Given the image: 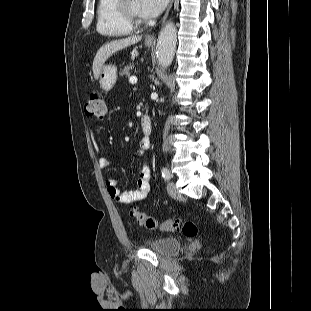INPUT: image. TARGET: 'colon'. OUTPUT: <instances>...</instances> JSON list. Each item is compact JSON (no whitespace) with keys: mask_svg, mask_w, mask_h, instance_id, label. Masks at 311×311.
<instances>
[{"mask_svg":"<svg viewBox=\"0 0 311 311\" xmlns=\"http://www.w3.org/2000/svg\"><path fill=\"white\" fill-rule=\"evenodd\" d=\"M106 112L107 106L104 94L101 91H92L85 104L86 115L90 117L103 118L106 115ZM130 216L140 225L151 230L158 229L165 232L180 231L186 237H194L198 233L196 224L191 220L176 218L159 222L154 217L136 208H132L130 210Z\"/></svg>","mask_w":311,"mask_h":311,"instance_id":"5ec220e1","label":"colon"}]
</instances>
